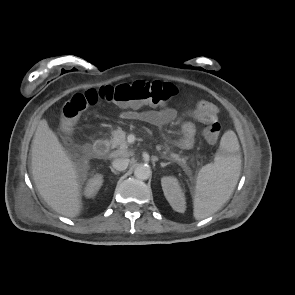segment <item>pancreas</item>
<instances>
[{"instance_id":"pancreas-1","label":"pancreas","mask_w":295,"mask_h":295,"mask_svg":"<svg viewBox=\"0 0 295 295\" xmlns=\"http://www.w3.org/2000/svg\"><path fill=\"white\" fill-rule=\"evenodd\" d=\"M112 148H118L121 150L122 153H125L128 148V143L126 141V133L121 128H118L112 132L111 140H110ZM163 149V146L158 145L157 150ZM164 155L169 153V147L165 148L163 152ZM170 159L177 161L179 163H184V159L180 158L178 154L170 153Z\"/></svg>"}]
</instances>
